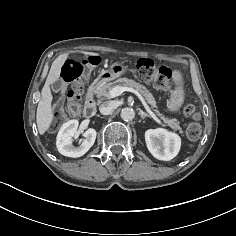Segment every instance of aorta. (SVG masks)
<instances>
[{"mask_svg": "<svg viewBox=\"0 0 236 236\" xmlns=\"http://www.w3.org/2000/svg\"><path fill=\"white\" fill-rule=\"evenodd\" d=\"M120 116L125 121H131L135 117V111L132 108L126 107L122 109Z\"/></svg>", "mask_w": 236, "mask_h": 236, "instance_id": "obj_1", "label": "aorta"}]
</instances>
